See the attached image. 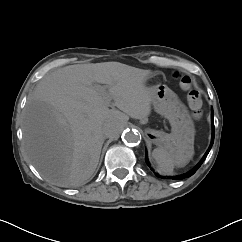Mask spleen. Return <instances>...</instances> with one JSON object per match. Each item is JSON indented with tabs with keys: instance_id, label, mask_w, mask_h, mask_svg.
<instances>
[{
	"instance_id": "1",
	"label": "spleen",
	"mask_w": 242,
	"mask_h": 242,
	"mask_svg": "<svg viewBox=\"0 0 242 242\" xmlns=\"http://www.w3.org/2000/svg\"><path fill=\"white\" fill-rule=\"evenodd\" d=\"M153 158L158 164V169L161 173L170 174L172 173L175 166H184L188 161L180 159V151H167L163 148H156L152 152Z\"/></svg>"
}]
</instances>
